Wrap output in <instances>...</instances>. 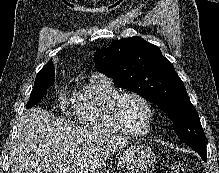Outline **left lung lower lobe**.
<instances>
[{
    "label": "left lung lower lobe",
    "instance_id": "obj_1",
    "mask_svg": "<svg viewBox=\"0 0 219 173\" xmlns=\"http://www.w3.org/2000/svg\"><path fill=\"white\" fill-rule=\"evenodd\" d=\"M195 151L200 154L201 158H202L204 161H207L206 151H202V150H195Z\"/></svg>",
    "mask_w": 219,
    "mask_h": 173
}]
</instances>
